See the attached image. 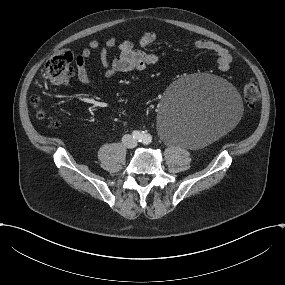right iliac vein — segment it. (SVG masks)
Instances as JSON below:
<instances>
[{
    "mask_svg": "<svg viewBox=\"0 0 285 285\" xmlns=\"http://www.w3.org/2000/svg\"><path fill=\"white\" fill-rule=\"evenodd\" d=\"M125 139H129V137H125Z\"/></svg>",
    "mask_w": 285,
    "mask_h": 285,
    "instance_id": "right-iliac-vein-1",
    "label": "right iliac vein"
}]
</instances>
